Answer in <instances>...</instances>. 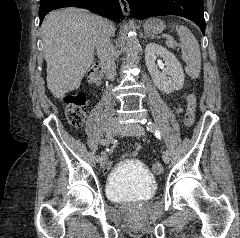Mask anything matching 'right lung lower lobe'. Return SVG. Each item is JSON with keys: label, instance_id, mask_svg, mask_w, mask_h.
Masks as SVG:
<instances>
[{"label": "right lung lower lobe", "instance_id": "98d812e1", "mask_svg": "<svg viewBox=\"0 0 240 238\" xmlns=\"http://www.w3.org/2000/svg\"><path fill=\"white\" fill-rule=\"evenodd\" d=\"M69 6L88 9L93 13L112 19L116 22L122 17L119 0H45L40 3V24L50 11Z\"/></svg>", "mask_w": 240, "mask_h": 238}]
</instances>
